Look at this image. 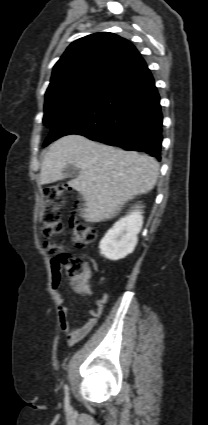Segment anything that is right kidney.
<instances>
[{"instance_id":"ca27d5eb","label":"right kidney","mask_w":208,"mask_h":425,"mask_svg":"<svg viewBox=\"0 0 208 425\" xmlns=\"http://www.w3.org/2000/svg\"><path fill=\"white\" fill-rule=\"evenodd\" d=\"M139 208L136 207L119 219L100 241L99 248L107 259L116 261L134 251L138 241L137 235L143 225V216Z\"/></svg>"}]
</instances>
